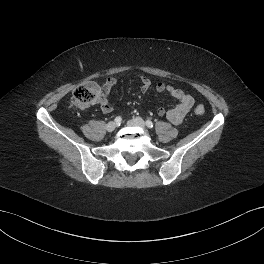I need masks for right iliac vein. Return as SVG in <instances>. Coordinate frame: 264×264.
I'll use <instances>...</instances> for the list:
<instances>
[{"instance_id": "right-iliac-vein-1", "label": "right iliac vein", "mask_w": 264, "mask_h": 264, "mask_svg": "<svg viewBox=\"0 0 264 264\" xmlns=\"http://www.w3.org/2000/svg\"><path fill=\"white\" fill-rule=\"evenodd\" d=\"M116 123L115 122H109L107 125H106V130L108 132H112L116 129Z\"/></svg>"}]
</instances>
